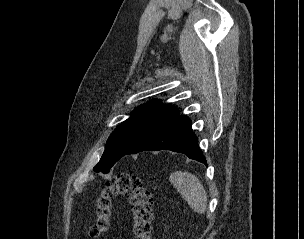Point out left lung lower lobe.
I'll return each mask as SVG.
<instances>
[{
    "mask_svg": "<svg viewBox=\"0 0 304 239\" xmlns=\"http://www.w3.org/2000/svg\"><path fill=\"white\" fill-rule=\"evenodd\" d=\"M146 150H171L206 164V159L198 146L197 137L191 130V121L184 115H179L156 129L125 155Z\"/></svg>",
    "mask_w": 304,
    "mask_h": 239,
    "instance_id": "left-lung-lower-lobe-1",
    "label": "left lung lower lobe"
}]
</instances>
